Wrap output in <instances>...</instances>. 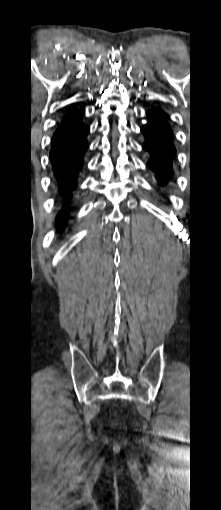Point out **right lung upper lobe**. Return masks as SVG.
I'll list each match as a JSON object with an SVG mask.
<instances>
[{
  "label": "right lung upper lobe",
  "mask_w": 221,
  "mask_h": 510,
  "mask_svg": "<svg viewBox=\"0 0 221 510\" xmlns=\"http://www.w3.org/2000/svg\"><path fill=\"white\" fill-rule=\"evenodd\" d=\"M82 116H83L82 113L75 109L69 110L64 116L61 125L59 126L55 133H63L69 130L70 128L75 127L76 125L81 123Z\"/></svg>",
  "instance_id": "right-lung-upper-lobe-1"
}]
</instances>
